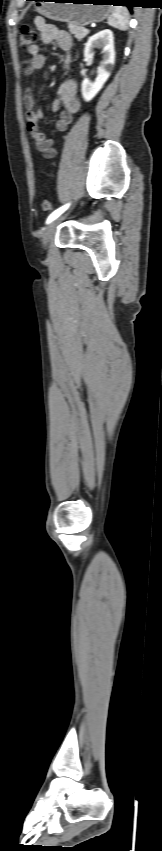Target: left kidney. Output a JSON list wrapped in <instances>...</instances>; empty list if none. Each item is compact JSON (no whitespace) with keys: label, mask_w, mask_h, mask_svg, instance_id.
Instances as JSON below:
<instances>
[{"label":"left kidney","mask_w":162,"mask_h":851,"mask_svg":"<svg viewBox=\"0 0 162 851\" xmlns=\"http://www.w3.org/2000/svg\"><path fill=\"white\" fill-rule=\"evenodd\" d=\"M102 49V60L98 67L97 77L94 82L85 78L81 84L82 97L86 102L91 101L102 89L111 75L115 64L114 36L111 30L105 29L89 37L84 48L86 62L93 59L94 49Z\"/></svg>","instance_id":"1"}]
</instances>
